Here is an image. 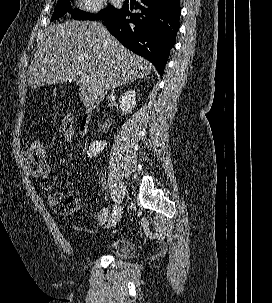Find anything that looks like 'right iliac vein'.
Listing matches in <instances>:
<instances>
[{
  "instance_id": "right-iliac-vein-1",
  "label": "right iliac vein",
  "mask_w": 272,
  "mask_h": 303,
  "mask_svg": "<svg viewBox=\"0 0 272 303\" xmlns=\"http://www.w3.org/2000/svg\"><path fill=\"white\" fill-rule=\"evenodd\" d=\"M122 216V207L120 205L117 206V215H113L112 219L109 221L107 228L114 227L120 220Z\"/></svg>"
}]
</instances>
